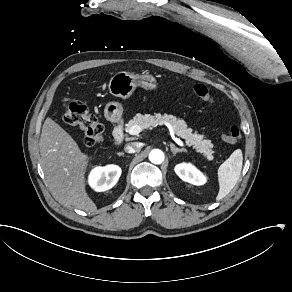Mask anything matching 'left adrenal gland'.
Here are the masks:
<instances>
[{
  "label": "left adrenal gland",
  "mask_w": 292,
  "mask_h": 292,
  "mask_svg": "<svg viewBox=\"0 0 292 292\" xmlns=\"http://www.w3.org/2000/svg\"><path fill=\"white\" fill-rule=\"evenodd\" d=\"M170 147H171V151L174 153L175 156L177 155V153H187V151L184 149L176 148L173 143L170 144Z\"/></svg>",
  "instance_id": "1"
}]
</instances>
